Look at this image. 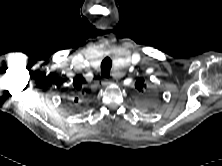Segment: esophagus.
<instances>
[{"label": "esophagus", "instance_id": "obj_1", "mask_svg": "<svg viewBox=\"0 0 222 166\" xmlns=\"http://www.w3.org/2000/svg\"><path fill=\"white\" fill-rule=\"evenodd\" d=\"M110 84H111V82L108 81V80H106V79L102 81V85H103V86H108V85H110Z\"/></svg>", "mask_w": 222, "mask_h": 166}]
</instances>
